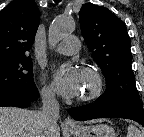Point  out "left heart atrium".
<instances>
[{
    "mask_svg": "<svg viewBox=\"0 0 144 137\" xmlns=\"http://www.w3.org/2000/svg\"><path fill=\"white\" fill-rule=\"evenodd\" d=\"M57 92L66 98H73L81 91L82 76L80 71L71 65L58 68L54 75Z\"/></svg>",
    "mask_w": 144,
    "mask_h": 137,
    "instance_id": "left-heart-atrium-1",
    "label": "left heart atrium"
}]
</instances>
